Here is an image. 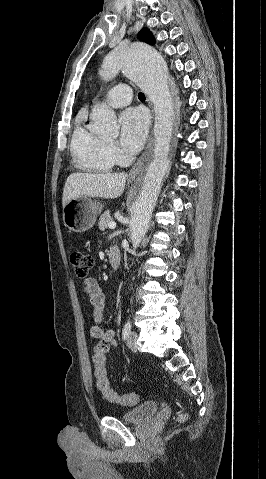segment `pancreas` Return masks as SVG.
<instances>
[{
	"mask_svg": "<svg viewBox=\"0 0 266 479\" xmlns=\"http://www.w3.org/2000/svg\"><path fill=\"white\" fill-rule=\"evenodd\" d=\"M110 222H112L111 212L107 210L100 216L99 223H98L99 228L101 230L106 229Z\"/></svg>",
	"mask_w": 266,
	"mask_h": 479,
	"instance_id": "cf45deb5",
	"label": "pancreas"
}]
</instances>
